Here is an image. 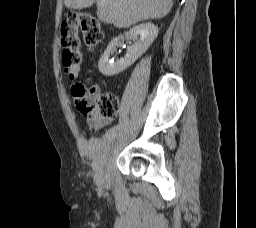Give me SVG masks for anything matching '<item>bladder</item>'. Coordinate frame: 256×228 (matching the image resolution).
<instances>
[{
    "instance_id": "bladder-1",
    "label": "bladder",
    "mask_w": 256,
    "mask_h": 228,
    "mask_svg": "<svg viewBox=\"0 0 256 228\" xmlns=\"http://www.w3.org/2000/svg\"><path fill=\"white\" fill-rule=\"evenodd\" d=\"M124 146L125 142L118 135L107 133L90 144L89 153L94 165L98 169H103Z\"/></svg>"
}]
</instances>
